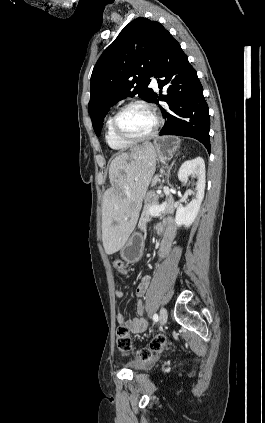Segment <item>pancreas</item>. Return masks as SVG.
Masks as SVG:
<instances>
[{
  "label": "pancreas",
  "mask_w": 265,
  "mask_h": 423,
  "mask_svg": "<svg viewBox=\"0 0 265 423\" xmlns=\"http://www.w3.org/2000/svg\"><path fill=\"white\" fill-rule=\"evenodd\" d=\"M153 205H159V196L156 195L154 192H149L145 197V204L144 208L138 223V228L140 230H145L147 223L151 218V213L149 212V208ZM174 212V199L172 195H169V201L166 208L160 213V215L165 214H172Z\"/></svg>",
  "instance_id": "cf45deb5"
}]
</instances>
